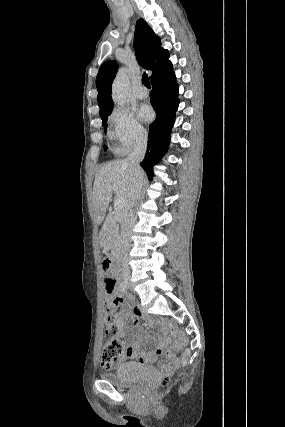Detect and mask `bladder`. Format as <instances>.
<instances>
[{"mask_svg":"<svg viewBox=\"0 0 285 427\" xmlns=\"http://www.w3.org/2000/svg\"><path fill=\"white\" fill-rule=\"evenodd\" d=\"M152 371L138 363H121L116 370L102 372L100 377L114 385L133 386L149 379Z\"/></svg>","mask_w":285,"mask_h":427,"instance_id":"bladder-1","label":"bladder"}]
</instances>
